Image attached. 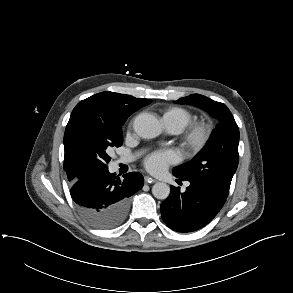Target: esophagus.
I'll return each instance as SVG.
<instances>
[{
    "label": "esophagus",
    "instance_id": "esophagus-1",
    "mask_svg": "<svg viewBox=\"0 0 293 293\" xmlns=\"http://www.w3.org/2000/svg\"><path fill=\"white\" fill-rule=\"evenodd\" d=\"M145 181H146L147 183H154V182H156L157 180L154 179V178H152V177H150V176H145Z\"/></svg>",
    "mask_w": 293,
    "mask_h": 293
}]
</instances>
